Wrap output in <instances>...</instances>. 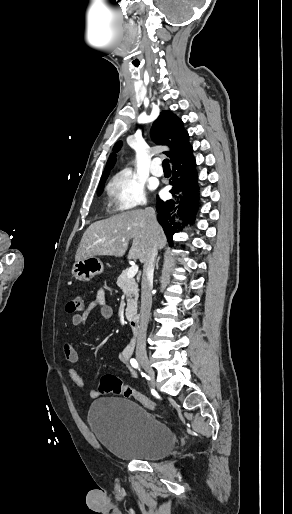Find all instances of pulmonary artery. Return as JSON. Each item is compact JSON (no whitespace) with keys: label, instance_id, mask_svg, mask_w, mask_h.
Returning <instances> with one entry per match:
<instances>
[{"label":"pulmonary artery","instance_id":"obj_1","mask_svg":"<svg viewBox=\"0 0 292 514\" xmlns=\"http://www.w3.org/2000/svg\"><path fill=\"white\" fill-rule=\"evenodd\" d=\"M151 163H152L153 165H156V164L158 163V160H157L156 158H153V159L151 160ZM152 173H153L155 176H161V175H162L161 171H158V170H152Z\"/></svg>","mask_w":292,"mask_h":514}]
</instances>
